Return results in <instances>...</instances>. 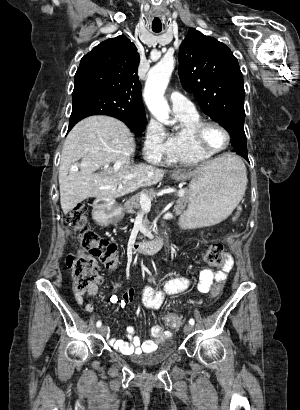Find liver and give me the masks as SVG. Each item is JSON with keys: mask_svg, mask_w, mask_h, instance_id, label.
<instances>
[{"mask_svg": "<svg viewBox=\"0 0 300 410\" xmlns=\"http://www.w3.org/2000/svg\"><path fill=\"white\" fill-rule=\"evenodd\" d=\"M134 151L133 135L115 118L91 116L77 123L68 134L61 153L59 185L64 214L90 197L117 198L159 183L164 170L147 164L130 166ZM231 157L230 154L222 155L200 168L224 166ZM80 159V171L69 172L71 165ZM110 163H120V167L111 168ZM98 168L104 171L94 173Z\"/></svg>", "mask_w": 300, "mask_h": 410, "instance_id": "1", "label": "liver"}]
</instances>
